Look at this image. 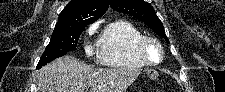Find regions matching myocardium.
<instances>
[{
  "label": "myocardium",
  "instance_id": "1",
  "mask_svg": "<svg viewBox=\"0 0 225 92\" xmlns=\"http://www.w3.org/2000/svg\"><path fill=\"white\" fill-rule=\"evenodd\" d=\"M150 45L156 47L158 50V57L156 59H150L148 57L147 48ZM137 51L144 64L148 66H157L163 61L164 58V49L162 44L156 38L150 36H143L139 40L137 44Z\"/></svg>",
  "mask_w": 225,
  "mask_h": 92
}]
</instances>
